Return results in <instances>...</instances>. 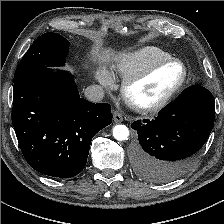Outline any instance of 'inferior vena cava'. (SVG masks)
Returning <instances> with one entry per match:
<instances>
[{
  "mask_svg": "<svg viewBox=\"0 0 224 224\" xmlns=\"http://www.w3.org/2000/svg\"><path fill=\"white\" fill-rule=\"evenodd\" d=\"M85 97L91 102H100L104 97V90L99 85L88 86L84 91Z\"/></svg>",
  "mask_w": 224,
  "mask_h": 224,
  "instance_id": "1",
  "label": "inferior vena cava"
}]
</instances>
